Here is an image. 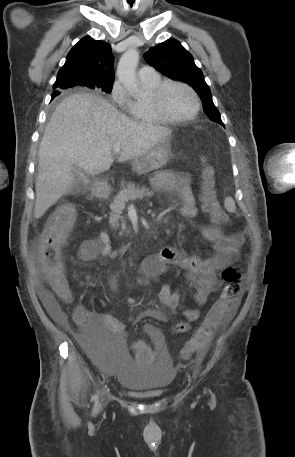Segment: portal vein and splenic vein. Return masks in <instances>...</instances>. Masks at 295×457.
Listing matches in <instances>:
<instances>
[{
  "instance_id": "portal-vein-and-splenic-vein-1",
  "label": "portal vein and splenic vein",
  "mask_w": 295,
  "mask_h": 457,
  "mask_svg": "<svg viewBox=\"0 0 295 457\" xmlns=\"http://www.w3.org/2000/svg\"><path fill=\"white\" fill-rule=\"evenodd\" d=\"M120 151H121L120 145L115 144V145L113 146V152H114V153H120Z\"/></svg>"
}]
</instances>
